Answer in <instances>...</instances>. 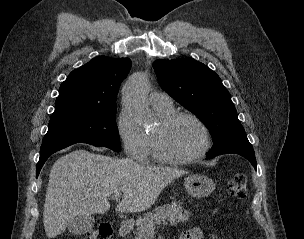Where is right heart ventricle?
<instances>
[{
	"label": "right heart ventricle",
	"mask_w": 304,
	"mask_h": 239,
	"mask_svg": "<svg viewBox=\"0 0 304 239\" xmlns=\"http://www.w3.org/2000/svg\"><path fill=\"white\" fill-rule=\"evenodd\" d=\"M152 106L155 112L157 113V115L161 119H163L164 117L168 116L169 114L175 111L173 105H152ZM152 134H148L151 144H152Z\"/></svg>",
	"instance_id": "right-heart-ventricle-1"
}]
</instances>
